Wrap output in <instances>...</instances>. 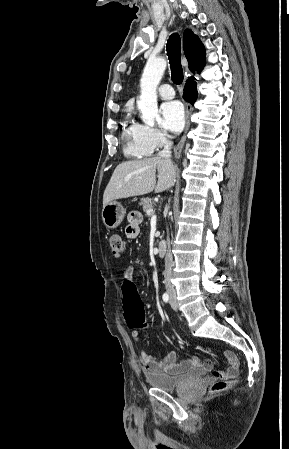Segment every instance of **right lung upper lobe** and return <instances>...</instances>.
<instances>
[{
    "label": "right lung upper lobe",
    "mask_w": 289,
    "mask_h": 449,
    "mask_svg": "<svg viewBox=\"0 0 289 449\" xmlns=\"http://www.w3.org/2000/svg\"><path fill=\"white\" fill-rule=\"evenodd\" d=\"M184 53L193 73H200L205 65V48L197 35L186 29L183 36Z\"/></svg>",
    "instance_id": "1"
}]
</instances>
